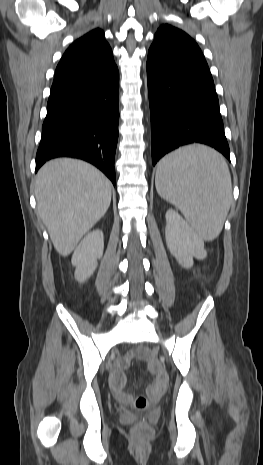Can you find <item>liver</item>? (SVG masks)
<instances>
[{
    "label": "liver",
    "mask_w": 263,
    "mask_h": 465,
    "mask_svg": "<svg viewBox=\"0 0 263 465\" xmlns=\"http://www.w3.org/2000/svg\"><path fill=\"white\" fill-rule=\"evenodd\" d=\"M111 189L109 179L84 161L59 158L41 167L35 181L37 211L60 255L68 256L104 216Z\"/></svg>",
    "instance_id": "1"
}]
</instances>
